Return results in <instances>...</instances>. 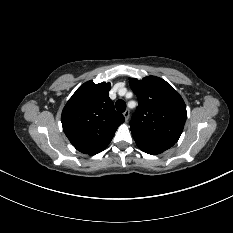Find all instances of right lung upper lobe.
<instances>
[{
    "label": "right lung upper lobe",
    "instance_id": "cb5924a9",
    "mask_svg": "<svg viewBox=\"0 0 233 233\" xmlns=\"http://www.w3.org/2000/svg\"><path fill=\"white\" fill-rule=\"evenodd\" d=\"M110 87V83L88 81L77 89L62 111L63 130L82 153L92 154L106 148L125 121L108 96Z\"/></svg>",
    "mask_w": 233,
    "mask_h": 233
}]
</instances>
